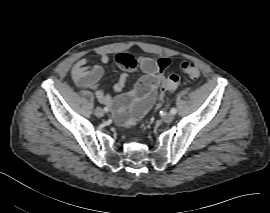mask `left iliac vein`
Masks as SVG:
<instances>
[{
  "instance_id": "4c4485c4",
  "label": "left iliac vein",
  "mask_w": 270,
  "mask_h": 213,
  "mask_svg": "<svg viewBox=\"0 0 270 213\" xmlns=\"http://www.w3.org/2000/svg\"><path fill=\"white\" fill-rule=\"evenodd\" d=\"M173 119H174V116H173V114H171L170 112L164 114L163 117H162V120H163L165 123H170V122H172Z\"/></svg>"
}]
</instances>
